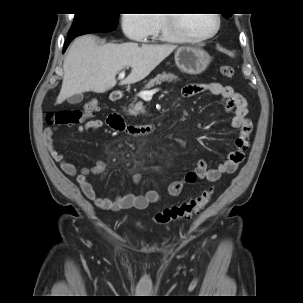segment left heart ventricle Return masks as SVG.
Returning <instances> with one entry per match:
<instances>
[{"mask_svg":"<svg viewBox=\"0 0 303 303\" xmlns=\"http://www.w3.org/2000/svg\"><path fill=\"white\" fill-rule=\"evenodd\" d=\"M181 26L193 36H201L215 27V19L212 14H184Z\"/></svg>","mask_w":303,"mask_h":303,"instance_id":"1","label":"left heart ventricle"}]
</instances>
